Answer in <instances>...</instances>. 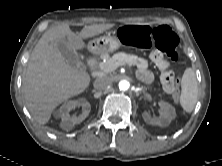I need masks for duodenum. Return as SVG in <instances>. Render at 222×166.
<instances>
[{
    "label": "duodenum",
    "instance_id": "1",
    "mask_svg": "<svg viewBox=\"0 0 222 166\" xmlns=\"http://www.w3.org/2000/svg\"><path fill=\"white\" fill-rule=\"evenodd\" d=\"M88 63L90 64L91 67H94L96 65V59L94 57H90L88 59Z\"/></svg>",
    "mask_w": 222,
    "mask_h": 166
}]
</instances>
